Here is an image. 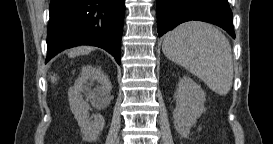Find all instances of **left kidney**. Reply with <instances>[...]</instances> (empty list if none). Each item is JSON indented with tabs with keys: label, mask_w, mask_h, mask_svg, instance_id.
Segmentation results:
<instances>
[{
	"label": "left kidney",
	"mask_w": 273,
	"mask_h": 144,
	"mask_svg": "<svg viewBox=\"0 0 273 144\" xmlns=\"http://www.w3.org/2000/svg\"><path fill=\"white\" fill-rule=\"evenodd\" d=\"M175 99L174 125L182 137H187L204 111L206 94L191 78L183 77L179 80Z\"/></svg>",
	"instance_id": "5707ae66"
}]
</instances>
